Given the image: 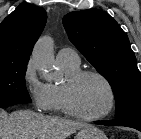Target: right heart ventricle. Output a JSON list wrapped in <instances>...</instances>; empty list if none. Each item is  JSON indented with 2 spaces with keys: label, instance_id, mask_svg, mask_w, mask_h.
<instances>
[{
  "label": "right heart ventricle",
  "instance_id": "e07e8e85",
  "mask_svg": "<svg viewBox=\"0 0 141 139\" xmlns=\"http://www.w3.org/2000/svg\"><path fill=\"white\" fill-rule=\"evenodd\" d=\"M59 65L64 70L67 76L80 70L79 65H66V64H59ZM48 90L50 95L51 109L57 112H65L62 104L61 85L48 84Z\"/></svg>",
  "mask_w": 141,
  "mask_h": 139
}]
</instances>
